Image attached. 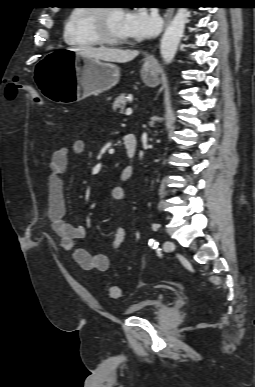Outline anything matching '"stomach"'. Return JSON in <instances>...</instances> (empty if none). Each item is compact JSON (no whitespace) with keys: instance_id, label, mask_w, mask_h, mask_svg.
Returning a JSON list of instances; mask_svg holds the SVG:
<instances>
[{"instance_id":"stomach-1","label":"stomach","mask_w":255,"mask_h":387,"mask_svg":"<svg viewBox=\"0 0 255 387\" xmlns=\"http://www.w3.org/2000/svg\"><path fill=\"white\" fill-rule=\"evenodd\" d=\"M47 50L50 54L44 59H33L32 82L41 87L45 99H54L55 104H72L110 89L119 80V67L82 56L72 46H48ZM141 76L150 87L159 82L152 62L144 63Z\"/></svg>"}]
</instances>
